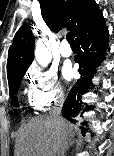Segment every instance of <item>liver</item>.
Segmentation results:
<instances>
[{
  "label": "liver",
  "instance_id": "1",
  "mask_svg": "<svg viewBox=\"0 0 114 156\" xmlns=\"http://www.w3.org/2000/svg\"><path fill=\"white\" fill-rule=\"evenodd\" d=\"M74 125L61 117L30 119L18 132L14 156H56L61 145L73 134Z\"/></svg>",
  "mask_w": 114,
  "mask_h": 156
}]
</instances>
